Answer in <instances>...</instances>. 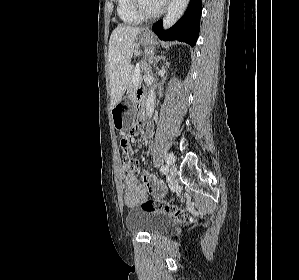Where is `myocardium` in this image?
Returning <instances> with one entry per match:
<instances>
[{"label":"myocardium","mask_w":299,"mask_h":280,"mask_svg":"<svg viewBox=\"0 0 299 280\" xmlns=\"http://www.w3.org/2000/svg\"><path fill=\"white\" fill-rule=\"evenodd\" d=\"M167 3L163 2L161 7L154 11V12H148L145 10L142 0H132V7L135 13L141 17L142 19H154L162 15L166 9Z\"/></svg>","instance_id":"f54148a6"}]
</instances>
